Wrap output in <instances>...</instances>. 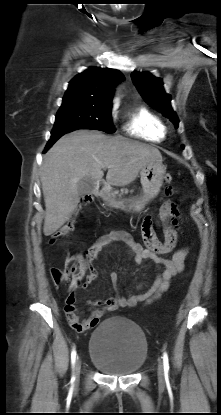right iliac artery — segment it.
I'll return each instance as SVG.
<instances>
[{"label": "right iliac artery", "mask_w": 221, "mask_h": 415, "mask_svg": "<svg viewBox=\"0 0 221 415\" xmlns=\"http://www.w3.org/2000/svg\"><path fill=\"white\" fill-rule=\"evenodd\" d=\"M75 361H76V351L75 350H72V352H71V364H72V367H74ZM72 380H74V377H72Z\"/></svg>", "instance_id": "obj_1"}]
</instances>
